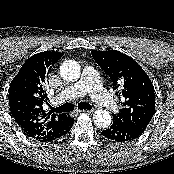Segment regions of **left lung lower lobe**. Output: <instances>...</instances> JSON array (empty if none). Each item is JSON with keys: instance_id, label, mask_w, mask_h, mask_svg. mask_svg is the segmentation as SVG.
I'll return each mask as SVG.
<instances>
[{"instance_id": "1", "label": "left lung lower lobe", "mask_w": 174, "mask_h": 174, "mask_svg": "<svg viewBox=\"0 0 174 174\" xmlns=\"http://www.w3.org/2000/svg\"><path fill=\"white\" fill-rule=\"evenodd\" d=\"M144 130L136 128L132 125L113 119V124L103 130L101 134L104 138L115 142L131 141L142 135Z\"/></svg>"}]
</instances>
